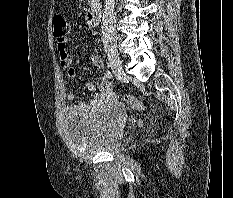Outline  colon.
<instances>
[{"mask_svg":"<svg viewBox=\"0 0 233 198\" xmlns=\"http://www.w3.org/2000/svg\"><path fill=\"white\" fill-rule=\"evenodd\" d=\"M53 29L56 40L63 41L67 38L69 34V26L64 17L60 15H57L53 18ZM123 99L124 102L132 108L138 110L144 109L143 103L131 95H126Z\"/></svg>","mask_w":233,"mask_h":198,"instance_id":"colon-1","label":"colon"}]
</instances>
